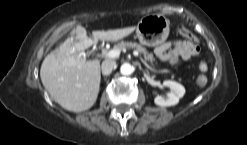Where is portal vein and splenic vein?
I'll return each mask as SVG.
<instances>
[{
	"instance_id": "portal-vein-and-splenic-vein-1",
	"label": "portal vein and splenic vein",
	"mask_w": 247,
	"mask_h": 145,
	"mask_svg": "<svg viewBox=\"0 0 247 145\" xmlns=\"http://www.w3.org/2000/svg\"><path fill=\"white\" fill-rule=\"evenodd\" d=\"M120 53H121V50L113 49V50H110L109 52L102 54L101 56L105 58L113 59V58L119 57ZM133 54L136 57L139 56V52L137 50L133 51Z\"/></svg>"
}]
</instances>
